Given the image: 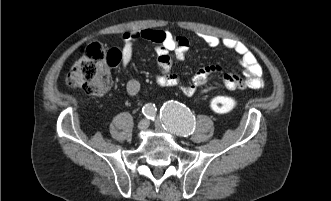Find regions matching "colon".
I'll use <instances>...</instances> for the list:
<instances>
[{
  "mask_svg": "<svg viewBox=\"0 0 331 201\" xmlns=\"http://www.w3.org/2000/svg\"><path fill=\"white\" fill-rule=\"evenodd\" d=\"M119 61L118 50H107L97 43L91 44L68 72L66 83L89 95L103 96L110 89L109 69ZM237 105L238 99L233 96H216L210 100V108L215 113H229Z\"/></svg>",
  "mask_w": 331,
  "mask_h": 201,
  "instance_id": "obj_1",
  "label": "colon"
}]
</instances>
